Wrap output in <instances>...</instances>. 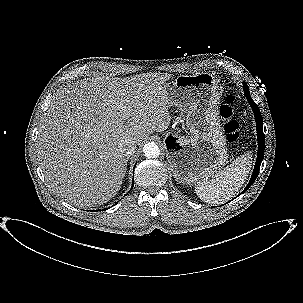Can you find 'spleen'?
<instances>
[{
    "instance_id": "3e777b00",
    "label": "spleen",
    "mask_w": 303,
    "mask_h": 303,
    "mask_svg": "<svg viewBox=\"0 0 303 303\" xmlns=\"http://www.w3.org/2000/svg\"><path fill=\"white\" fill-rule=\"evenodd\" d=\"M252 166V155H240L232 164L218 172L211 180L195 186V193L204 202L218 205L230 200L243 186Z\"/></svg>"
}]
</instances>
